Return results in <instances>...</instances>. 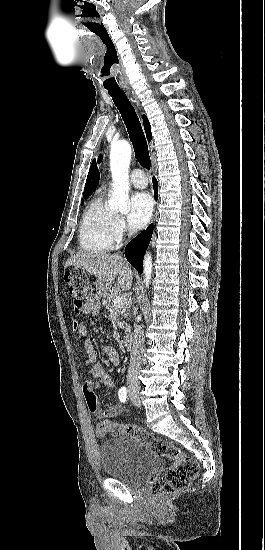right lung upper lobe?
<instances>
[{
    "label": "right lung upper lobe",
    "mask_w": 265,
    "mask_h": 550,
    "mask_svg": "<svg viewBox=\"0 0 265 550\" xmlns=\"http://www.w3.org/2000/svg\"><path fill=\"white\" fill-rule=\"evenodd\" d=\"M143 124H144V129L146 132L147 139L150 141L152 138L151 127L145 115H143ZM98 182H99V171L97 169L96 162L94 159L91 164L86 185L84 188V194H83L84 199H87L92 194V192L95 190L96 186L98 185Z\"/></svg>",
    "instance_id": "cb5924a9"
}]
</instances>
